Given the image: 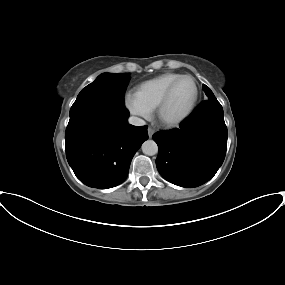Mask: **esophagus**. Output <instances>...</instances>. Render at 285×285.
Here are the masks:
<instances>
[{
    "label": "esophagus",
    "instance_id": "34e87169",
    "mask_svg": "<svg viewBox=\"0 0 285 285\" xmlns=\"http://www.w3.org/2000/svg\"><path fill=\"white\" fill-rule=\"evenodd\" d=\"M155 133V130L151 127L148 128V136L149 138H152L153 134Z\"/></svg>",
    "mask_w": 285,
    "mask_h": 285
}]
</instances>
